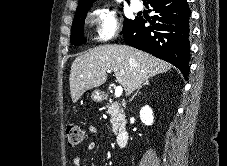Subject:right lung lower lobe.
<instances>
[{
    "label": "right lung lower lobe",
    "mask_w": 227,
    "mask_h": 166,
    "mask_svg": "<svg viewBox=\"0 0 227 166\" xmlns=\"http://www.w3.org/2000/svg\"><path fill=\"white\" fill-rule=\"evenodd\" d=\"M156 15L147 21L142 17L123 34L125 42L137 49L151 53L175 65L185 79L189 74L190 44L189 17L190 9L186 0H146Z\"/></svg>",
    "instance_id": "obj_1"
}]
</instances>
